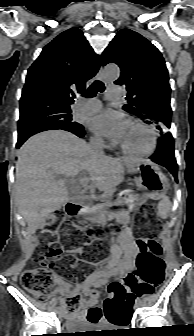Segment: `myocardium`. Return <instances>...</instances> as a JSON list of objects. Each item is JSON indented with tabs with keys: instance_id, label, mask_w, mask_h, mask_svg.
Masks as SVG:
<instances>
[{
	"instance_id": "myocardium-1",
	"label": "myocardium",
	"mask_w": 194,
	"mask_h": 336,
	"mask_svg": "<svg viewBox=\"0 0 194 336\" xmlns=\"http://www.w3.org/2000/svg\"><path fill=\"white\" fill-rule=\"evenodd\" d=\"M127 123H132L134 125H137V126L143 128L144 130H146L150 135L151 144H150L149 148L147 150H144V151H131V150H128L124 146L119 144L118 148L120 149V151L125 155L134 156V157H147V156L152 155L156 151L157 146H158V135H157L156 130L153 127H151L150 125H148L147 123H145V122H143L139 119H135V118L128 119Z\"/></svg>"
}]
</instances>
